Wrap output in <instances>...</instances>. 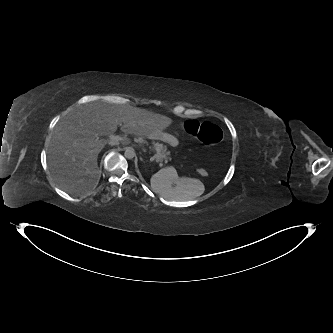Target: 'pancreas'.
Returning a JSON list of instances; mask_svg holds the SVG:
<instances>
[{
	"instance_id": "obj_1",
	"label": "pancreas",
	"mask_w": 333,
	"mask_h": 333,
	"mask_svg": "<svg viewBox=\"0 0 333 333\" xmlns=\"http://www.w3.org/2000/svg\"><path fill=\"white\" fill-rule=\"evenodd\" d=\"M154 148L156 150V160L158 162H168L171 160L170 152L167 150V147L159 142H153Z\"/></svg>"
}]
</instances>
